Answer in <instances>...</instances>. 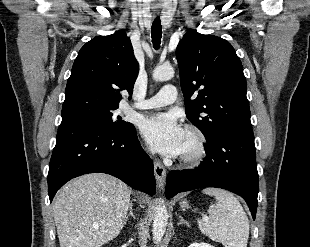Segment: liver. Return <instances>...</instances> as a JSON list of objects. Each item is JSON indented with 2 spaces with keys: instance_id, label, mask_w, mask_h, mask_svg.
<instances>
[{
  "instance_id": "1",
  "label": "liver",
  "mask_w": 310,
  "mask_h": 247,
  "mask_svg": "<svg viewBox=\"0 0 310 247\" xmlns=\"http://www.w3.org/2000/svg\"><path fill=\"white\" fill-rule=\"evenodd\" d=\"M131 190L107 174H86L56 194L53 216L60 247H101L119 235Z\"/></svg>"
}]
</instances>
